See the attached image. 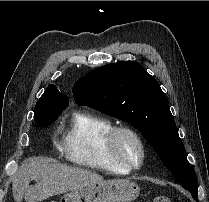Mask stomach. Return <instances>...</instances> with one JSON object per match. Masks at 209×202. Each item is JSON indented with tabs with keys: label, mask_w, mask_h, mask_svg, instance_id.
<instances>
[{
	"label": "stomach",
	"mask_w": 209,
	"mask_h": 202,
	"mask_svg": "<svg viewBox=\"0 0 209 202\" xmlns=\"http://www.w3.org/2000/svg\"><path fill=\"white\" fill-rule=\"evenodd\" d=\"M139 194L140 188L135 182L114 179L65 193L59 202H132Z\"/></svg>",
	"instance_id": "obj_1"
}]
</instances>
